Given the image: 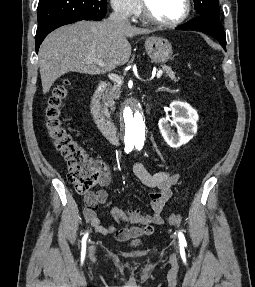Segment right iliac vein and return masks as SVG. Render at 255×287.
<instances>
[{"instance_id": "63e3f726", "label": "right iliac vein", "mask_w": 255, "mask_h": 287, "mask_svg": "<svg viewBox=\"0 0 255 287\" xmlns=\"http://www.w3.org/2000/svg\"><path fill=\"white\" fill-rule=\"evenodd\" d=\"M93 253H94V247H91L90 254L93 255Z\"/></svg>"}]
</instances>
